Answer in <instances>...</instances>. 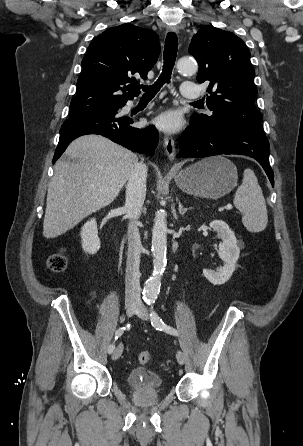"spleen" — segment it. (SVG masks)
Wrapping results in <instances>:
<instances>
[{
    "instance_id": "obj_1",
    "label": "spleen",
    "mask_w": 303,
    "mask_h": 446,
    "mask_svg": "<svg viewBox=\"0 0 303 446\" xmlns=\"http://www.w3.org/2000/svg\"><path fill=\"white\" fill-rule=\"evenodd\" d=\"M234 205L242 213V222L248 231L257 233L266 228L268 222L266 202L257 177L249 168L244 170L242 184L234 197Z\"/></svg>"
}]
</instances>
